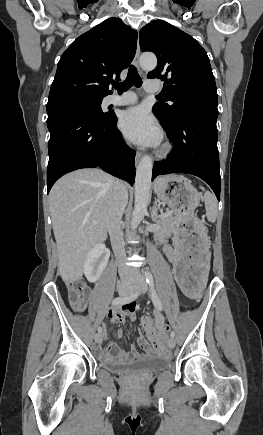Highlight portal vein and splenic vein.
Masks as SVG:
<instances>
[{"instance_id":"18ae733b","label":"portal vein and splenic vein","mask_w":263,"mask_h":435,"mask_svg":"<svg viewBox=\"0 0 263 435\" xmlns=\"http://www.w3.org/2000/svg\"><path fill=\"white\" fill-rule=\"evenodd\" d=\"M170 213H171V212H168V213H166V214H162L161 217L166 216V215H168V214H170Z\"/></svg>"}]
</instances>
